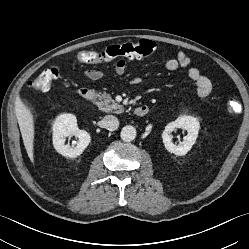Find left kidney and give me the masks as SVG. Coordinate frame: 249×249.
<instances>
[{
    "instance_id": "5707ae66",
    "label": "left kidney",
    "mask_w": 249,
    "mask_h": 249,
    "mask_svg": "<svg viewBox=\"0 0 249 249\" xmlns=\"http://www.w3.org/2000/svg\"><path fill=\"white\" fill-rule=\"evenodd\" d=\"M184 129L187 131V135L183 138V141L176 145L172 142V132L176 129ZM200 129L199 121L192 116L182 115L179 116L174 122H171L165 126L162 133V139L165 148L175 155H185L195 144Z\"/></svg>"
}]
</instances>
